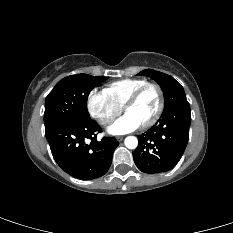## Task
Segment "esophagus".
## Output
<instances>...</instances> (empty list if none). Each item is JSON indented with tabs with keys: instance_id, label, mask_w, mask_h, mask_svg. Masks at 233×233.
Here are the masks:
<instances>
[{
	"instance_id": "esophagus-1",
	"label": "esophagus",
	"mask_w": 233,
	"mask_h": 233,
	"mask_svg": "<svg viewBox=\"0 0 233 233\" xmlns=\"http://www.w3.org/2000/svg\"><path fill=\"white\" fill-rule=\"evenodd\" d=\"M116 139L120 142V141H122L124 139V137L123 136H118Z\"/></svg>"
}]
</instances>
